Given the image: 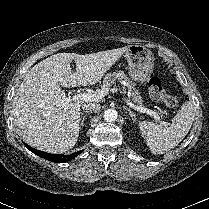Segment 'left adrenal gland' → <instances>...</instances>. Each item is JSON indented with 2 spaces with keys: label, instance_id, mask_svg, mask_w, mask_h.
I'll return each instance as SVG.
<instances>
[{
  "label": "left adrenal gland",
  "instance_id": "obj_1",
  "mask_svg": "<svg viewBox=\"0 0 209 209\" xmlns=\"http://www.w3.org/2000/svg\"><path fill=\"white\" fill-rule=\"evenodd\" d=\"M123 109H125V110H127L129 112L130 117L134 121L133 117L135 116V114L131 111V109L127 108L126 106H123Z\"/></svg>",
  "mask_w": 209,
  "mask_h": 209
}]
</instances>
